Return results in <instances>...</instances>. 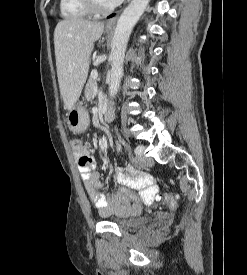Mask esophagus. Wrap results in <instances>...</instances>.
Masks as SVG:
<instances>
[{
  "label": "esophagus",
  "mask_w": 247,
  "mask_h": 275,
  "mask_svg": "<svg viewBox=\"0 0 247 275\" xmlns=\"http://www.w3.org/2000/svg\"><path fill=\"white\" fill-rule=\"evenodd\" d=\"M116 20H117V17H113L111 19H109L106 23V27H112L115 25L116 23Z\"/></svg>",
  "instance_id": "34e87169"
}]
</instances>
